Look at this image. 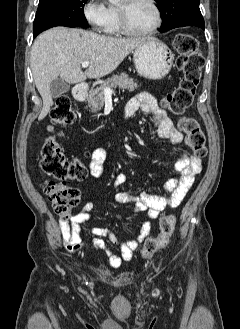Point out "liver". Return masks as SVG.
<instances>
[{
    "instance_id": "obj_1",
    "label": "liver",
    "mask_w": 240,
    "mask_h": 329,
    "mask_svg": "<svg viewBox=\"0 0 240 329\" xmlns=\"http://www.w3.org/2000/svg\"><path fill=\"white\" fill-rule=\"evenodd\" d=\"M143 38H121L99 35L82 29L54 27L41 33L31 49L30 64L34 83L43 100L39 120L53 105L52 80L60 77L77 84L87 78L99 79L113 72ZM91 62L83 72L81 64Z\"/></svg>"
}]
</instances>
